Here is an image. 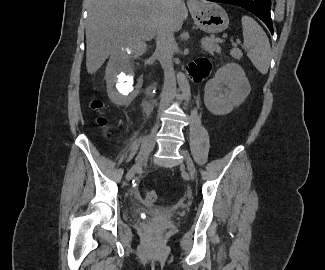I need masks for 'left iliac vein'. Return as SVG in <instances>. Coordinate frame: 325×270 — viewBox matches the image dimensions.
Masks as SVG:
<instances>
[{
    "label": "left iliac vein",
    "mask_w": 325,
    "mask_h": 270,
    "mask_svg": "<svg viewBox=\"0 0 325 270\" xmlns=\"http://www.w3.org/2000/svg\"><path fill=\"white\" fill-rule=\"evenodd\" d=\"M180 153L184 156L190 177L194 178L195 167H194L193 161L191 160L189 155L184 150H180Z\"/></svg>",
    "instance_id": "1"
}]
</instances>
